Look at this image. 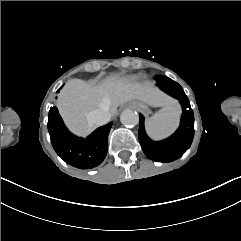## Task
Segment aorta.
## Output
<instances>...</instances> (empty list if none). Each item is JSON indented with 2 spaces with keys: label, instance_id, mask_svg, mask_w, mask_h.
Returning a JSON list of instances; mask_svg holds the SVG:
<instances>
[{
  "label": "aorta",
  "instance_id": "obj_1",
  "mask_svg": "<svg viewBox=\"0 0 241 241\" xmlns=\"http://www.w3.org/2000/svg\"><path fill=\"white\" fill-rule=\"evenodd\" d=\"M121 123L126 127H134L139 123V115L133 110H124L120 115Z\"/></svg>",
  "mask_w": 241,
  "mask_h": 241
}]
</instances>
